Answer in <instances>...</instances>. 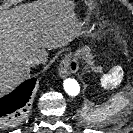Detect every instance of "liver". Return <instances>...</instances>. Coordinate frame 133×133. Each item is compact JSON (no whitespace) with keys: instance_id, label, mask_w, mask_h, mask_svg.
Returning a JSON list of instances; mask_svg holds the SVG:
<instances>
[{"instance_id":"liver-1","label":"liver","mask_w":133,"mask_h":133,"mask_svg":"<svg viewBox=\"0 0 133 133\" xmlns=\"http://www.w3.org/2000/svg\"><path fill=\"white\" fill-rule=\"evenodd\" d=\"M73 3L38 1L0 11V96L30 74L27 60L45 49L62 47L81 30Z\"/></svg>"}]
</instances>
